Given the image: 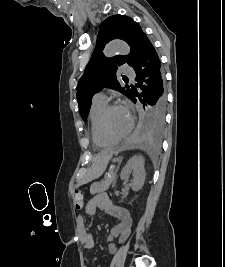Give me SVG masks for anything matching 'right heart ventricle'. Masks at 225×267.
<instances>
[{"instance_id":"obj_1","label":"right heart ventricle","mask_w":225,"mask_h":267,"mask_svg":"<svg viewBox=\"0 0 225 267\" xmlns=\"http://www.w3.org/2000/svg\"><path fill=\"white\" fill-rule=\"evenodd\" d=\"M105 106V101L93 100L89 111V134L92 143L97 148H108L114 145L113 143L105 140L98 129L99 116Z\"/></svg>"}]
</instances>
